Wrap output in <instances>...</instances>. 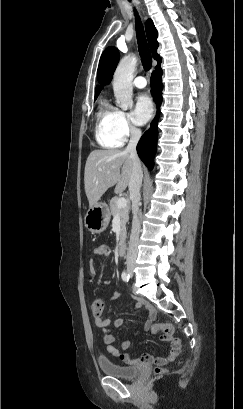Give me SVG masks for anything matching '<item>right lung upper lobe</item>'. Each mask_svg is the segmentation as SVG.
Segmentation results:
<instances>
[{
    "mask_svg": "<svg viewBox=\"0 0 243 409\" xmlns=\"http://www.w3.org/2000/svg\"><path fill=\"white\" fill-rule=\"evenodd\" d=\"M146 34L152 55L159 62L161 58L157 54V48L159 45L157 42L158 33L151 19H148L146 21ZM118 62H119L118 50L115 47L106 48L101 55L97 71V79L100 84L107 85L111 82L113 73L116 69ZM102 85L96 86L95 97L98 96L99 93L101 92L103 88Z\"/></svg>",
    "mask_w": 243,
    "mask_h": 409,
    "instance_id": "1",
    "label": "right lung upper lobe"
}]
</instances>
